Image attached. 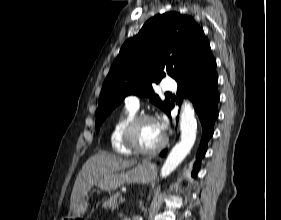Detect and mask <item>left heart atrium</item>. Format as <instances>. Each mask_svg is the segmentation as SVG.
<instances>
[{
	"instance_id": "obj_1",
	"label": "left heart atrium",
	"mask_w": 281,
	"mask_h": 220,
	"mask_svg": "<svg viewBox=\"0 0 281 220\" xmlns=\"http://www.w3.org/2000/svg\"><path fill=\"white\" fill-rule=\"evenodd\" d=\"M156 123L158 125V128H159L161 134L164 135L165 129L167 127L166 121L164 119H162L161 121L156 122Z\"/></svg>"
}]
</instances>
